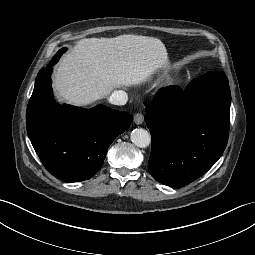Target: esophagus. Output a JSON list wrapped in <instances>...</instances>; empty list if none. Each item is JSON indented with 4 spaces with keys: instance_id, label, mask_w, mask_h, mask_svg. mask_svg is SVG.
Returning a JSON list of instances; mask_svg holds the SVG:
<instances>
[{
    "instance_id": "1",
    "label": "esophagus",
    "mask_w": 255,
    "mask_h": 255,
    "mask_svg": "<svg viewBox=\"0 0 255 255\" xmlns=\"http://www.w3.org/2000/svg\"><path fill=\"white\" fill-rule=\"evenodd\" d=\"M143 121H144V116H143L142 113H137V114H135V116H134V122H135V124L140 125V124L143 123Z\"/></svg>"
}]
</instances>
